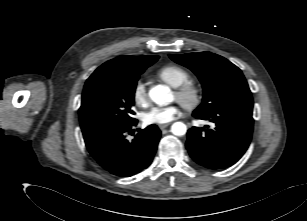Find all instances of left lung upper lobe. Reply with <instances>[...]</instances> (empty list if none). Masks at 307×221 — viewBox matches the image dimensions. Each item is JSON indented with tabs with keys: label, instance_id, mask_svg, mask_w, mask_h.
I'll list each match as a JSON object with an SVG mask.
<instances>
[{
	"label": "left lung upper lobe",
	"instance_id": "5c2ea615",
	"mask_svg": "<svg viewBox=\"0 0 307 221\" xmlns=\"http://www.w3.org/2000/svg\"><path fill=\"white\" fill-rule=\"evenodd\" d=\"M169 56L192 70L202 83L203 102L194 113L210 115L226 108H253L251 92L241 70L224 57L210 52Z\"/></svg>",
	"mask_w": 307,
	"mask_h": 221
}]
</instances>
